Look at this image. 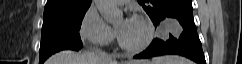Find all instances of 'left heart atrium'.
<instances>
[{
    "mask_svg": "<svg viewBox=\"0 0 242 64\" xmlns=\"http://www.w3.org/2000/svg\"><path fill=\"white\" fill-rule=\"evenodd\" d=\"M132 20L128 19L125 21V28H128L131 25Z\"/></svg>",
    "mask_w": 242,
    "mask_h": 64,
    "instance_id": "1",
    "label": "left heart atrium"
}]
</instances>
